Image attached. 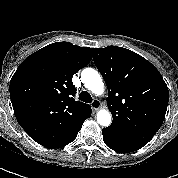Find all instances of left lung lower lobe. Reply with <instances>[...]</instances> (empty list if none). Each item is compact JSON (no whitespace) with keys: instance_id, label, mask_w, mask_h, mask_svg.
I'll return each instance as SVG.
<instances>
[{"instance_id":"left-lung-lower-lobe-1","label":"left lung lower lobe","mask_w":178,"mask_h":178,"mask_svg":"<svg viewBox=\"0 0 178 178\" xmlns=\"http://www.w3.org/2000/svg\"><path fill=\"white\" fill-rule=\"evenodd\" d=\"M102 133H103L104 143L110 149H112L116 152L127 153V152L136 151L141 148V147L133 146V145L127 144L125 142L119 141L117 139H114L109 134H107L104 130H102Z\"/></svg>"}]
</instances>
